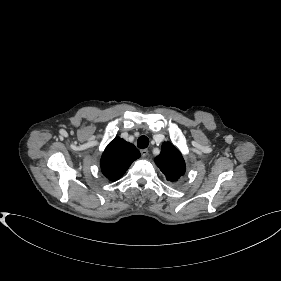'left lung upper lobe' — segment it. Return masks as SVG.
<instances>
[{"label":"left lung upper lobe","mask_w":281,"mask_h":281,"mask_svg":"<svg viewBox=\"0 0 281 281\" xmlns=\"http://www.w3.org/2000/svg\"><path fill=\"white\" fill-rule=\"evenodd\" d=\"M155 163L168 181H177L185 173L182 154L170 142L163 143L161 153L155 158Z\"/></svg>","instance_id":"left-lung-upper-lobe-1"}]
</instances>
